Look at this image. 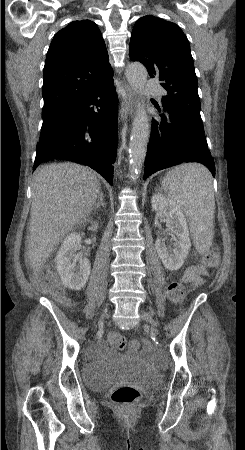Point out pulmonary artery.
Returning a JSON list of instances; mask_svg holds the SVG:
<instances>
[{"label": "pulmonary artery", "instance_id": "e3ab8cb5", "mask_svg": "<svg viewBox=\"0 0 245 450\" xmlns=\"http://www.w3.org/2000/svg\"><path fill=\"white\" fill-rule=\"evenodd\" d=\"M144 86H145V91H146L147 93L155 92V93H157L158 95H162V92L159 91L158 85H157V83H156L155 81H153V80H151V79L146 80V81L144 82Z\"/></svg>", "mask_w": 245, "mask_h": 450}]
</instances>
